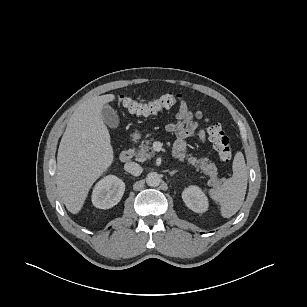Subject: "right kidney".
Instances as JSON below:
<instances>
[{
  "mask_svg": "<svg viewBox=\"0 0 307 307\" xmlns=\"http://www.w3.org/2000/svg\"><path fill=\"white\" fill-rule=\"evenodd\" d=\"M125 183L117 176L108 175L98 181L92 192V203L99 209H109L119 203Z\"/></svg>",
  "mask_w": 307,
  "mask_h": 307,
  "instance_id": "right-kidney-1",
  "label": "right kidney"
}]
</instances>
